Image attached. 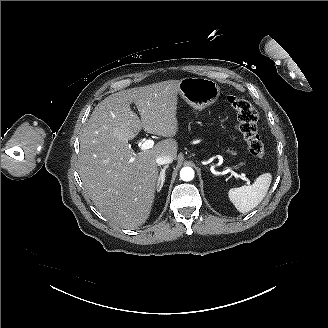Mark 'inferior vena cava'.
<instances>
[{
    "label": "inferior vena cava",
    "instance_id": "inferior-vena-cava-1",
    "mask_svg": "<svg viewBox=\"0 0 328 328\" xmlns=\"http://www.w3.org/2000/svg\"><path fill=\"white\" fill-rule=\"evenodd\" d=\"M173 162V158L169 155H163V156H159L156 159V163L158 165H164V164H169Z\"/></svg>",
    "mask_w": 328,
    "mask_h": 328
}]
</instances>
